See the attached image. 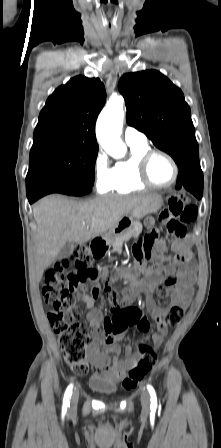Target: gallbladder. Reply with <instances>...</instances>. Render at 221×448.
I'll use <instances>...</instances> for the list:
<instances>
[{
	"instance_id": "1",
	"label": "gallbladder",
	"mask_w": 221,
	"mask_h": 448,
	"mask_svg": "<svg viewBox=\"0 0 221 448\" xmlns=\"http://www.w3.org/2000/svg\"><path fill=\"white\" fill-rule=\"evenodd\" d=\"M72 248H73V243H71V242L66 243L63 246V248L60 250V252L57 256V259L67 258L71 254Z\"/></svg>"
}]
</instances>
